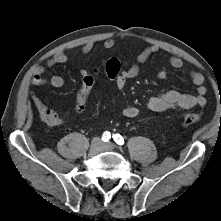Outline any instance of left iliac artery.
I'll return each mask as SVG.
<instances>
[{
  "mask_svg": "<svg viewBox=\"0 0 221 221\" xmlns=\"http://www.w3.org/2000/svg\"><path fill=\"white\" fill-rule=\"evenodd\" d=\"M113 139L119 145H123L124 144V139H123V137L120 134H113Z\"/></svg>",
  "mask_w": 221,
  "mask_h": 221,
  "instance_id": "left-iliac-artery-1",
  "label": "left iliac artery"
}]
</instances>
